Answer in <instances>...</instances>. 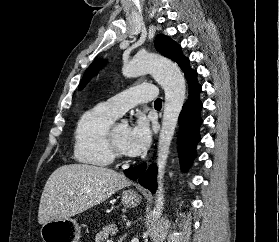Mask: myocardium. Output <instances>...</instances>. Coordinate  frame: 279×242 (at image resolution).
<instances>
[{
	"label": "myocardium",
	"instance_id": "f54148a6",
	"mask_svg": "<svg viewBox=\"0 0 279 242\" xmlns=\"http://www.w3.org/2000/svg\"><path fill=\"white\" fill-rule=\"evenodd\" d=\"M117 126L111 127L109 134H108V142L110 149L114 155L115 158L125 160L128 158L127 153H125L117 144L115 139V130Z\"/></svg>",
	"mask_w": 279,
	"mask_h": 242
}]
</instances>
